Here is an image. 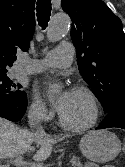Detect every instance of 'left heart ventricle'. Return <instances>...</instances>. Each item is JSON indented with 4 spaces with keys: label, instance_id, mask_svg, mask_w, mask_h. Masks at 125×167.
<instances>
[{
    "label": "left heart ventricle",
    "instance_id": "obj_1",
    "mask_svg": "<svg viewBox=\"0 0 125 167\" xmlns=\"http://www.w3.org/2000/svg\"><path fill=\"white\" fill-rule=\"evenodd\" d=\"M61 115L69 124L82 126L91 120L93 108L90 100L84 94L72 91L70 99Z\"/></svg>",
    "mask_w": 125,
    "mask_h": 167
}]
</instances>
